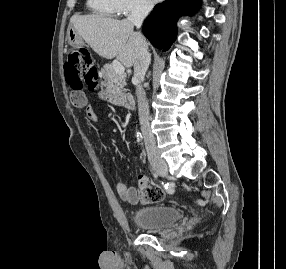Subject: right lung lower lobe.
I'll use <instances>...</instances> for the list:
<instances>
[{
  "instance_id": "98d812e1",
  "label": "right lung lower lobe",
  "mask_w": 286,
  "mask_h": 269,
  "mask_svg": "<svg viewBox=\"0 0 286 269\" xmlns=\"http://www.w3.org/2000/svg\"><path fill=\"white\" fill-rule=\"evenodd\" d=\"M200 3L201 0H165L156 5L144 22V35L154 47L168 50L176 38L178 18L195 13Z\"/></svg>"
}]
</instances>
